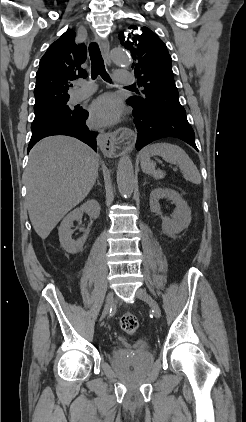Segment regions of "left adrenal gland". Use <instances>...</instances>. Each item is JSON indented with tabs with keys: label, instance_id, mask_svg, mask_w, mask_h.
Here are the masks:
<instances>
[{
	"label": "left adrenal gland",
	"instance_id": "1",
	"mask_svg": "<svg viewBox=\"0 0 246 422\" xmlns=\"http://www.w3.org/2000/svg\"><path fill=\"white\" fill-rule=\"evenodd\" d=\"M146 184H147V181L145 180V182H144V184H143V185L145 186Z\"/></svg>",
	"mask_w": 246,
	"mask_h": 422
}]
</instances>
